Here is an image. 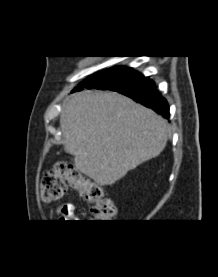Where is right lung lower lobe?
<instances>
[{"instance_id": "1", "label": "right lung lower lobe", "mask_w": 218, "mask_h": 277, "mask_svg": "<svg viewBox=\"0 0 218 277\" xmlns=\"http://www.w3.org/2000/svg\"><path fill=\"white\" fill-rule=\"evenodd\" d=\"M101 82L97 75L86 78L77 87L76 90H82L85 88H101ZM123 95H126L133 100L143 104L144 106L153 109L164 118H169V106L167 101L156 90L155 84L149 78L143 77L133 85L122 89H114Z\"/></svg>"}]
</instances>
